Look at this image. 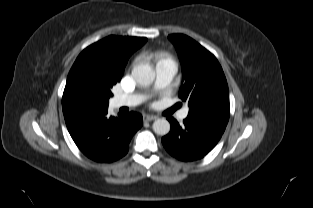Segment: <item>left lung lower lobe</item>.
<instances>
[{"mask_svg": "<svg viewBox=\"0 0 313 208\" xmlns=\"http://www.w3.org/2000/svg\"><path fill=\"white\" fill-rule=\"evenodd\" d=\"M167 119L171 130L162 138L163 146L169 154L182 161L203 158L215 147L226 128V125L200 121L189 116L182 126L172 117Z\"/></svg>", "mask_w": 313, "mask_h": 208, "instance_id": "left-lung-lower-lobe-1", "label": "left lung lower lobe"}]
</instances>
